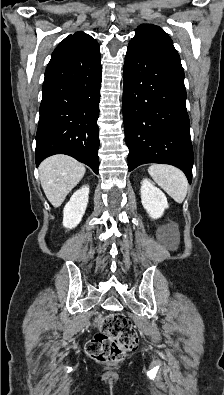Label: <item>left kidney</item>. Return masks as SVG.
<instances>
[{
	"instance_id": "obj_1",
	"label": "left kidney",
	"mask_w": 224,
	"mask_h": 395,
	"mask_svg": "<svg viewBox=\"0 0 224 395\" xmlns=\"http://www.w3.org/2000/svg\"><path fill=\"white\" fill-rule=\"evenodd\" d=\"M141 202L152 219L160 218L169 207L165 194L148 179L141 183Z\"/></svg>"
}]
</instances>
